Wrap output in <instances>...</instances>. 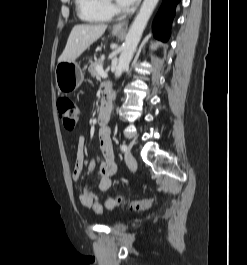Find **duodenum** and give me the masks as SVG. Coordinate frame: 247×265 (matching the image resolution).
<instances>
[{
	"instance_id": "obj_1",
	"label": "duodenum",
	"mask_w": 247,
	"mask_h": 265,
	"mask_svg": "<svg viewBox=\"0 0 247 265\" xmlns=\"http://www.w3.org/2000/svg\"><path fill=\"white\" fill-rule=\"evenodd\" d=\"M110 94V90L106 87L103 90L101 109L98 114V121L101 126H103L110 117Z\"/></svg>"
}]
</instances>
